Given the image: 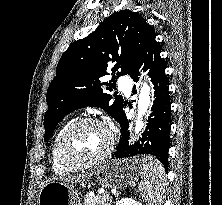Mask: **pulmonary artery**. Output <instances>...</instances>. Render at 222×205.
Returning <instances> with one entry per match:
<instances>
[{
  "instance_id": "pulmonary-artery-1",
  "label": "pulmonary artery",
  "mask_w": 222,
  "mask_h": 205,
  "mask_svg": "<svg viewBox=\"0 0 222 205\" xmlns=\"http://www.w3.org/2000/svg\"><path fill=\"white\" fill-rule=\"evenodd\" d=\"M118 87L119 89L124 90L126 93H129L131 88V78L127 75L119 77Z\"/></svg>"
}]
</instances>
